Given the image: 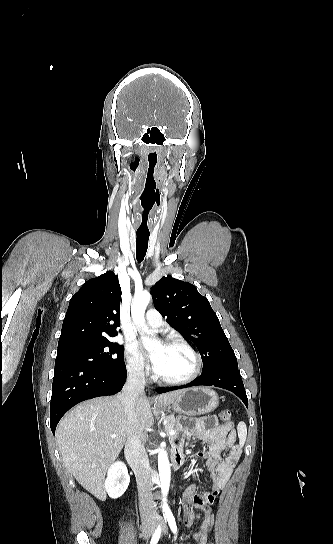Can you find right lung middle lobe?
Listing matches in <instances>:
<instances>
[{
    "label": "right lung middle lobe",
    "mask_w": 333,
    "mask_h": 544,
    "mask_svg": "<svg viewBox=\"0 0 333 544\" xmlns=\"http://www.w3.org/2000/svg\"><path fill=\"white\" fill-rule=\"evenodd\" d=\"M57 360L77 361L106 371H126L124 347L108 338L60 348Z\"/></svg>",
    "instance_id": "dd1d6c3e"
}]
</instances>
